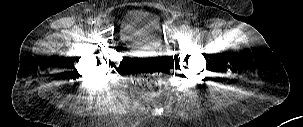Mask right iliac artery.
Segmentation results:
<instances>
[{
    "label": "right iliac artery",
    "instance_id": "obj_1",
    "mask_svg": "<svg viewBox=\"0 0 303 127\" xmlns=\"http://www.w3.org/2000/svg\"><path fill=\"white\" fill-rule=\"evenodd\" d=\"M94 22H95V20L93 18H89L87 20V23L90 24V25H92Z\"/></svg>",
    "mask_w": 303,
    "mask_h": 127
}]
</instances>
